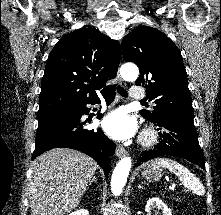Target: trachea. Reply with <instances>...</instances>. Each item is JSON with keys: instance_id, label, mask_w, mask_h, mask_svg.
Listing matches in <instances>:
<instances>
[{"instance_id": "trachea-1", "label": "trachea", "mask_w": 221, "mask_h": 215, "mask_svg": "<svg viewBox=\"0 0 221 215\" xmlns=\"http://www.w3.org/2000/svg\"><path fill=\"white\" fill-rule=\"evenodd\" d=\"M117 91L123 97H127L128 96L127 91L124 88L120 87V86L117 87ZM141 102L144 103L143 100H141Z\"/></svg>"}]
</instances>
